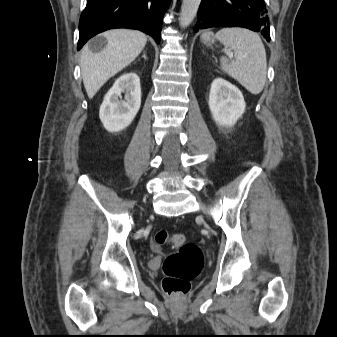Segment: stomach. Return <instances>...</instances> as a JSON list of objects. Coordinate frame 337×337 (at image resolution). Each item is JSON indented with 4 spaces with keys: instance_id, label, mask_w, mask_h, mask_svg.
<instances>
[{
    "instance_id": "0dacf381",
    "label": "stomach",
    "mask_w": 337,
    "mask_h": 337,
    "mask_svg": "<svg viewBox=\"0 0 337 337\" xmlns=\"http://www.w3.org/2000/svg\"><path fill=\"white\" fill-rule=\"evenodd\" d=\"M201 41L206 46H212L214 44V38L211 32H205L201 35Z\"/></svg>"
}]
</instances>
